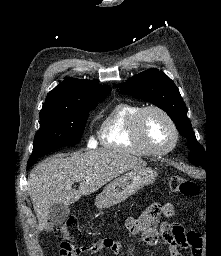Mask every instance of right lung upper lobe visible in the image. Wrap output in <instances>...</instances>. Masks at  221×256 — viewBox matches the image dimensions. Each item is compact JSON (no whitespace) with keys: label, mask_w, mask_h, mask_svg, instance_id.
<instances>
[{"label":"right lung upper lobe","mask_w":221,"mask_h":256,"mask_svg":"<svg viewBox=\"0 0 221 256\" xmlns=\"http://www.w3.org/2000/svg\"><path fill=\"white\" fill-rule=\"evenodd\" d=\"M111 88L90 80L66 78L50 91L40 112L75 109L78 102L96 96L108 95Z\"/></svg>","instance_id":"obj_1"}]
</instances>
